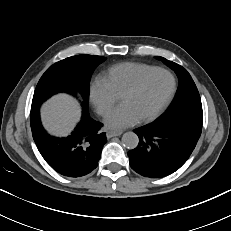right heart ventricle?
<instances>
[{
  "instance_id": "right-heart-ventricle-1",
  "label": "right heart ventricle",
  "mask_w": 231,
  "mask_h": 231,
  "mask_svg": "<svg viewBox=\"0 0 231 231\" xmlns=\"http://www.w3.org/2000/svg\"><path fill=\"white\" fill-rule=\"evenodd\" d=\"M158 67L136 62H125L112 66L103 77L117 97L133 85L141 76Z\"/></svg>"
}]
</instances>
